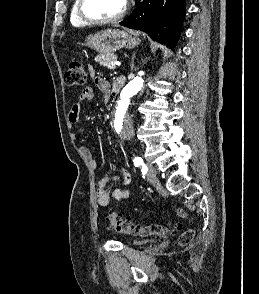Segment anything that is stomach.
Returning <instances> with one entry per match:
<instances>
[{
    "instance_id": "obj_1",
    "label": "stomach",
    "mask_w": 259,
    "mask_h": 294,
    "mask_svg": "<svg viewBox=\"0 0 259 294\" xmlns=\"http://www.w3.org/2000/svg\"><path fill=\"white\" fill-rule=\"evenodd\" d=\"M140 39L129 31L106 29L86 37L85 45L100 54H112L115 51L139 45Z\"/></svg>"
}]
</instances>
